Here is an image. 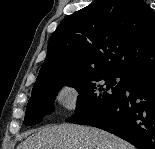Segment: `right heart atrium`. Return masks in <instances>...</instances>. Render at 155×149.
<instances>
[{
  "label": "right heart atrium",
  "mask_w": 155,
  "mask_h": 149,
  "mask_svg": "<svg viewBox=\"0 0 155 149\" xmlns=\"http://www.w3.org/2000/svg\"><path fill=\"white\" fill-rule=\"evenodd\" d=\"M55 98L63 108L74 109L80 98V91L75 85L65 83L57 90Z\"/></svg>",
  "instance_id": "right-heart-atrium-1"
}]
</instances>
